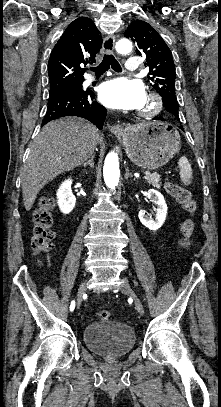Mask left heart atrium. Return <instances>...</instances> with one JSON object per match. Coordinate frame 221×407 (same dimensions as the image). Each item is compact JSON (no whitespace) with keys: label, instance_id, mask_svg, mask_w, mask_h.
I'll list each match as a JSON object with an SVG mask.
<instances>
[{"label":"left heart atrium","instance_id":"1","mask_svg":"<svg viewBox=\"0 0 221 407\" xmlns=\"http://www.w3.org/2000/svg\"><path fill=\"white\" fill-rule=\"evenodd\" d=\"M101 102L113 109H139L145 103L144 85L127 77H117L102 84L99 90Z\"/></svg>","mask_w":221,"mask_h":407}]
</instances>
